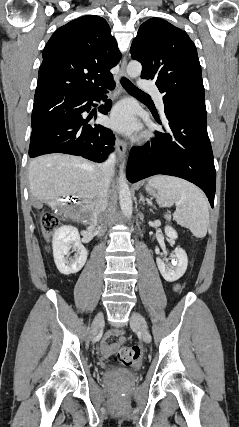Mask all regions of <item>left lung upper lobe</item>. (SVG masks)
Listing matches in <instances>:
<instances>
[{"instance_id": "5c2ea615", "label": "left lung upper lobe", "mask_w": 239, "mask_h": 427, "mask_svg": "<svg viewBox=\"0 0 239 427\" xmlns=\"http://www.w3.org/2000/svg\"><path fill=\"white\" fill-rule=\"evenodd\" d=\"M130 53L142 64L141 77L156 81L163 98L206 110L197 50L186 32L166 20L148 19L140 26Z\"/></svg>"}]
</instances>
